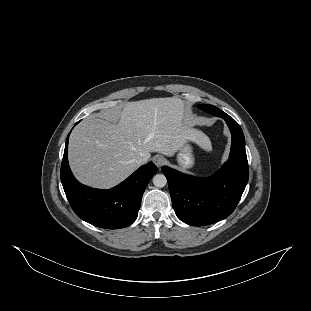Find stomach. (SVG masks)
Returning <instances> with one entry per match:
<instances>
[{
  "label": "stomach",
  "instance_id": "0dacf381",
  "mask_svg": "<svg viewBox=\"0 0 311 311\" xmlns=\"http://www.w3.org/2000/svg\"><path fill=\"white\" fill-rule=\"evenodd\" d=\"M177 162L181 170H186L193 167L195 157L193 154V148L189 143H186L178 150Z\"/></svg>",
  "mask_w": 311,
  "mask_h": 311
}]
</instances>
